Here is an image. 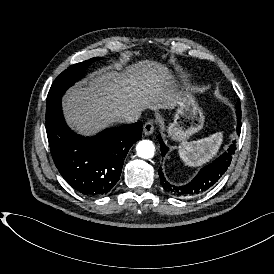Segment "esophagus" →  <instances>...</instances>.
<instances>
[{
	"label": "esophagus",
	"instance_id": "obj_1",
	"mask_svg": "<svg viewBox=\"0 0 274 274\" xmlns=\"http://www.w3.org/2000/svg\"><path fill=\"white\" fill-rule=\"evenodd\" d=\"M154 131V125L152 122L148 121L144 124V127H143V133L145 136H149L153 133Z\"/></svg>",
	"mask_w": 274,
	"mask_h": 274
}]
</instances>
